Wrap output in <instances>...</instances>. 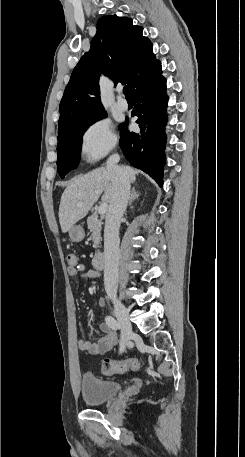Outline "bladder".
Returning a JSON list of instances; mask_svg holds the SVG:
<instances>
[{
	"label": "bladder",
	"mask_w": 245,
	"mask_h": 457,
	"mask_svg": "<svg viewBox=\"0 0 245 457\" xmlns=\"http://www.w3.org/2000/svg\"><path fill=\"white\" fill-rule=\"evenodd\" d=\"M80 387L87 406L106 403L110 396L117 395L120 390L118 382L99 380L90 373L82 376Z\"/></svg>",
	"instance_id": "1"
}]
</instances>
